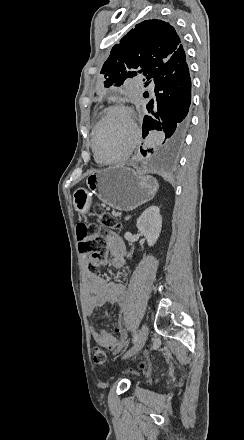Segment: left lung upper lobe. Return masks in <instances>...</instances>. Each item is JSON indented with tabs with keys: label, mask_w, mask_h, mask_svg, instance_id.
Returning <instances> with one entry per match:
<instances>
[{
	"label": "left lung upper lobe",
	"mask_w": 244,
	"mask_h": 440,
	"mask_svg": "<svg viewBox=\"0 0 244 440\" xmlns=\"http://www.w3.org/2000/svg\"><path fill=\"white\" fill-rule=\"evenodd\" d=\"M184 58L180 37L172 25L158 19L145 20L112 48L101 73L106 78L105 87L120 86L138 74L147 80L154 78L163 66H172Z\"/></svg>",
	"instance_id": "5c2ea615"
}]
</instances>
